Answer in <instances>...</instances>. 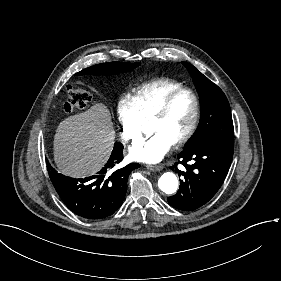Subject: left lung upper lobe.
Here are the masks:
<instances>
[{"instance_id":"1","label":"left lung upper lobe","mask_w":281,"mask_h":281,"mask_svg":"<svg viewBox=\"0 0 281 281\" xmlns=\"http://www.w3.org/2000/svg\"><path fill=\"white\" fill-rule=\"evenodd\" d=\"M200 97L201 117L198 128L185 148L202 142L233 149L234 133L229 102L223 91L198 71L193 65L183 62Z\"/></svg>"}]
</instances>
